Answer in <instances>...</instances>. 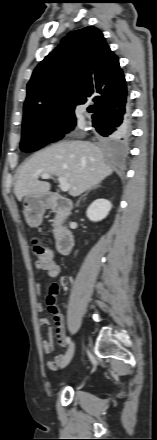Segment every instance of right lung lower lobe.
I'll use <instances>...</instances> for the list:
<instances>
[{
  "label": "right lung lower lobe",
  "mask_w": 157,
  "mask_h": 440,
  "mask_svg": "<svg viewBox=\"0 0 157 440\" xmlns=\"http://www.w3.org/2000/svg\"><path fill=\"white\" fill-rule=\"evenodd\" d=\"M131 118L127 95L112 100L93 116V126L97 133L115 141H127L130 136Z\"/></svg>",
  "instance_id": "right-lung-lower-lobe-1"
}]
</instances>
